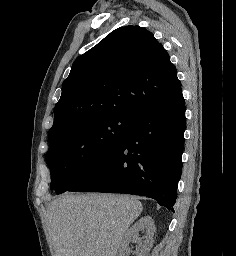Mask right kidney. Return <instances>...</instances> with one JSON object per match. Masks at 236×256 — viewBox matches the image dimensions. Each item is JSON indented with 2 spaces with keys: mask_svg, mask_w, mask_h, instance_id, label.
<instances>
[{
  "mask_svg": "<svg viewBox=\"0 0 236 256\" xmlns=\"http://www.w3.org/2000/svg\"><path fill=\"white\" fill-rule=\"evenodd\" d=\"M155 226L150 216H144L138 220L130 230L124 234L121 240L119 256H127L130 252L128 246L130 242L138 244L136 248V256H149V252L154 244L153 236L155 234ZM138 232H145L144 238H138Z\"/></svg>",
  "mask_w": 236,
  "mask_h": 256,
  "instance_id": "obj_1",
  "label": "right kidney"
}]
</instances>
